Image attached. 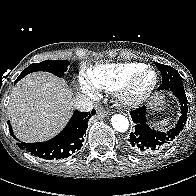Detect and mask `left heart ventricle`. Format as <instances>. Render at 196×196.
<instances>
[{
    "instance_id": "left-heart-ventricle-1",
    "label": "left heart ventricle",
    "mask_w": 196,
    "mask_h": 196,
    "mask_svg": "<svg viewBox=\"0 0 196 196\" xmlns=\"http://www.w3.org/2000/svg\"><path fill=\"white\" fill-rule=\"evenodd\" d=\"M154 74L152 72H147L144 74V76L141 78L140 82L136 86L137 92L144 91L153 81Z\"/></svg>"
}]
</instances>
